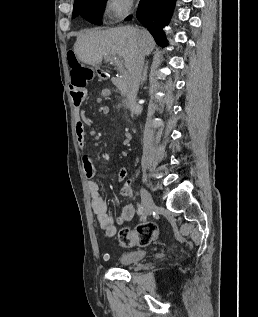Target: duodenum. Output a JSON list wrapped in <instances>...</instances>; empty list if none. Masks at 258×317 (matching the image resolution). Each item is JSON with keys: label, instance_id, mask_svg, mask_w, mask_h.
<instances>
[{"label": "duodenum", "instance_id": "duodenum-1", "mask_svg": "<svg viewBox=\"0 0 258 317\" xmlns=\"http://www.w3.org/2000/svg\"><path fill=\"white\" fill-rule=\"evenodd\" d=\"M72 102L75 106H80L86 98V86L78 82H72L70 85Z\"/></svg>", "mask_w": 258, "mask_h": 317}]
</instances>
